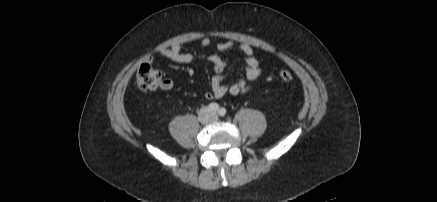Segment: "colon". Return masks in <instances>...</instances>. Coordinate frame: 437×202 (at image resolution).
I'll return each mask as SVG.
<instances>
[{
  "label": "colon",
  "instance_id": "5ec220e1",
  "mask_svg": "<svg viewBox=\"0 0 437 202\" xmlns=\"http://www.w3.org/2000/svg\"><path fill=\"white\" fill-rule=\"evenodd\" d=\"M279 77L283 81H291L293 75L287 70L279 72ZM164 79L159 70L153 68L150 63H143L136 72L137 86L146 91H154L162 87Z\"/></svg>",
  "mask_w": 437,
  "mask_h": 202
}]
</instances>
